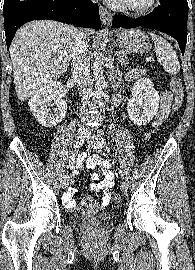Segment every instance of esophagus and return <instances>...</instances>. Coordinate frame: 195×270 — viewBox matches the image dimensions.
I'll use <instances>...</instances> for the list:
<instances>
[{
  "label": "esophagus",
  "instance_id": "esophagus-1",
  "mask_svg": "<svg viewBox=\"0 0 195 270\" xmlns=\"http://www.w3.org/2000/svg\"><path fill=\"white\" fill-rule=\"evenodd\" d=\"M101 21L104 25H109L112 20V15L104 9L102 6H100L99 9Z\"/></svg>",
  "mask_w": 195,
  "mask_h": 270
}]
</instances>
